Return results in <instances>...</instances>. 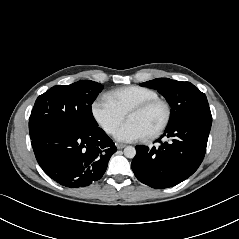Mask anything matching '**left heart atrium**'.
I'll use <instances>...</instances> for the list:
<instances>
[{
    "label": "left heart atrium",
    "instance_id": "39dd6f15",
    "mask_svg": "<svg viewBox=\"0 0 239 239\" xmlns=\"http://www.w3.org/2000/svg\"><path fill=\"white\" fill-rule=\"evenodd\" d=\"M115 138L123 142H132L145 138L143 131L134 123L127 121L114 134Z\"/></svg>",
    "mask_w": 239,
    "mask_h": 239
}]
</instances>
